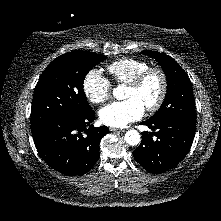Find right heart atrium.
<instances>
[{
	"label": "right heart atrium",
	"instance_id": "right-heart-atrium-1",
	"mask_svg": "<svg viewBox=\"0 0 221 221\" xmlns=\"http://www.w3.org/2000/svg\"><path fill=\"white\" fill-rule=\"evenodd\" d=\"M83 91L91 103L102 104L110 98L112 85L100 70L92 69L83 80Z\"/></svg>",
	"mask_w": 221,
	"mask_h": 221
}]
</instances>
